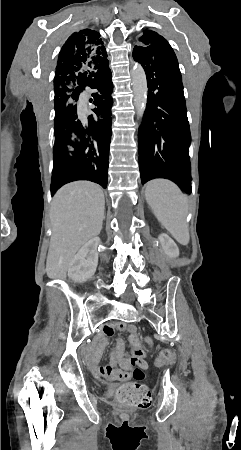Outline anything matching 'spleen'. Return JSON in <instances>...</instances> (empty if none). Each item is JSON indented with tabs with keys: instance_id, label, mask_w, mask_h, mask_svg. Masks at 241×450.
<instances>
[{
	"instance_id": "1",
	"label": "spleen",
	"mask_w": 241,
	"mask_h": 450,
	"mask_svg": "<svg viewBox=\"0 0 241 450\" xmlns=\"http://www.w3.org/2000/svg\"><path fill=\"white\" fill-rule=\"evenodd\" d=\"M145 198L158 222L182 244H189L190 236L186 224L188 200L180 188L170 180H151L145 186Z\"/></svg>"
}]
</instances>
